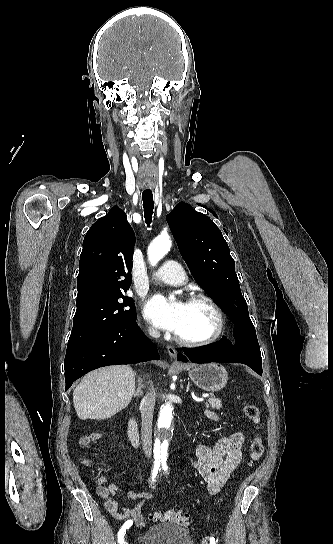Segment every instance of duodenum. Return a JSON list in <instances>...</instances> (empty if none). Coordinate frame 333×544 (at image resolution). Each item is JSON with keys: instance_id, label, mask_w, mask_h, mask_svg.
I'll list each match as a JSON object with an SVG mask.
<instances>
[{"instance_id": "1", "label": "duodenum", "mask_w": 333, "mask_h": 544, "mask_svg": "<svg viewBox=\"0 0 333 544\" xmlns=\"http://www.w3.org/2000/svg\"><path fill=\"white\" fill-rule=\"evenodd\" d=\"M128 435L134 446L139 445L140 435L137 422L133 416L128 420Z\"/></svg>"}]
</instances>
